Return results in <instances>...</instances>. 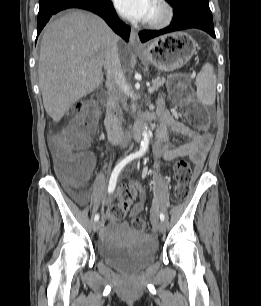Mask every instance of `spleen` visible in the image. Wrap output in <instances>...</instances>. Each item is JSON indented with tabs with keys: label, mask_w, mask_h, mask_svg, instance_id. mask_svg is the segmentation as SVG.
Masks as SVG:
<instances>
[{
	"label": "spleen",
	"mask_w": 261,
	"mask_h": 306,
	"mask_svg": "<svg viewBox=\"0 0 261 306\" xmlns=\"http://www.w3.org/2000/svg\"><path fill=\"white\" fill-rule=\"evenodd\" d=\"M197 97L204 105H212L216 97V76L213 66L205 63L196 76Z\"/></svg>",
	"instance_id": "1"
}]
</instances>
